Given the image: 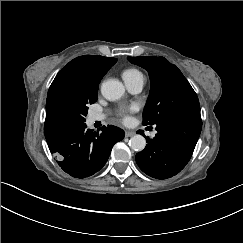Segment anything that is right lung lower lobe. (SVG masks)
<instances>
[{
  "mask_svg": "<svg viewBox=\"0 0 243 243\" xmlns=\"http://www.w3.org/2000/svg\"><path fill=\"white\" fill-rule=\"evenodd\" d=\"M101 131L86 130L85 123H77L56 127L45 138L59 166L73 177L85 178L105 165L113 145L124 138V131L112 125Z\"/></svg>",
  "mask_w": 243,
  "mask_h": 243,
  "instance_id": "right-lung-lower-lobe-1",
  "label": "right lung lower lobe"
}]
</instances>
